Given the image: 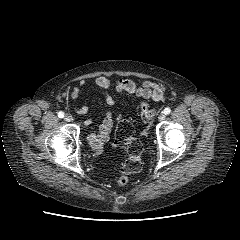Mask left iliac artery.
<instances>
[{
  "instance_id": "obj_1",
  "label": "left iliac artery",
  "mask_w": 240,
  "mask_h": 240,
  "mask_svg": "<svg viewBox=\"0 0 240 240\" xmlns=\"http://www.w3.org/2000/svg\"><path fill=\"white\" fill-rule=\"evenodd\" d=\"M170 112H171L170 108L167 107L164 109V114L168 115Z\"/></svg>"
}]
</instances>
